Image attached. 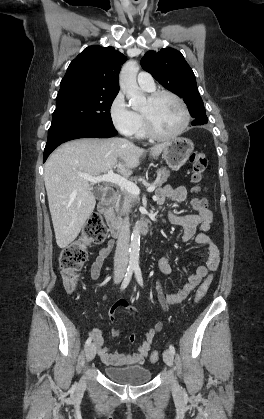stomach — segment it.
I'll return each instance as SVG.
<instances>
[{"label": "stomach", "instance_id": "0dacf381", "mask_svg": "<svg viewBox=\"0 0 264 419\" xmlns=\"http://www.w3.org/2000/svg\"><path fill=\"white\" fill-rule=\"evenodd\" d=\"M193 149L194 144L190 139L175 138L166 143L162 157L171 169L178 170L185 164Z\"/></svg>", "mask_w": 264, "mask_h": 419}]
</instances>
